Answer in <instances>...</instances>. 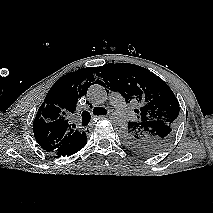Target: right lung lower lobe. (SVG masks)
I'll use <instances>...</instances> for the list:
<instances>
[{"label":"right lung lower lobe","instance_id":"right-lung-lower-lobe-1","mask_svg":"<svg viewBox=\"0 0 213 213\" xmlns=\"http://www.w3.org/2000/svg\"><path fill=\"white\" fill-rule=\"evenodd\" d=\"M86 143H87V136L85 133L84 136L79 141H77L74 145H72L71 147L65 150L57 152L56 155L63 156V157L70 156L78 152L79 150H81L86 145Z\"/></svg>","mask_w":213,"mask_h":213}]
</instances>
